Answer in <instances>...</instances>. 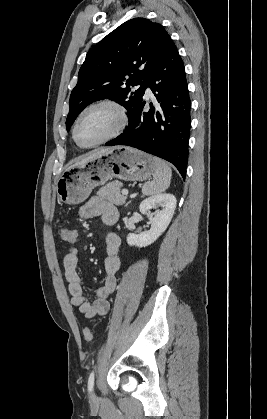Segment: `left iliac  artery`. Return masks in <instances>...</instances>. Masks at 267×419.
Masks as SVG:
<instances>
[{
    "mask_svg": "<svg viewBox=\"0 0 267 419\" xmlns=\"http://www.w3.org/2000/svg\"><path fill=\"white\" fill-rule=\"evenodd\" d=\"M94 377H95V374H94V371H92L90 373V376H89V379H88V390H89V392H92V390H93Z\"/></svg>",
    "mask_w": 267,
    "mask_h": 419,
    "instance_id": "left-iliac-artery-1",
    "label": "left iliac artery"
}]
</instances>
